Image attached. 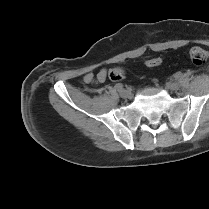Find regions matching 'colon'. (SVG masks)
I'll list each match as a JSON object with an SVG mask.
<instances>
[{
	"mask_svg": "<svg viewBox=\"0 0 209 209\" xmlns=\"http://www.w3.org/2000/svg\"><path fill=\"white\" fill-rule=\"evenodd\" d=\"M189 59L196 66H203L207 63L209 58V53L198 46L192 47L188 52ZM162 63V60L158 57L150 58L145 61L147 67H157ZM108 77L112 81H120L125 77V71L122 68H112Z\"/></svg>",
	"mask_w": 209,
	"mask_h": 209,
	"instance_id": "colon-1",
	"label": "colon"
}]
</instances>
